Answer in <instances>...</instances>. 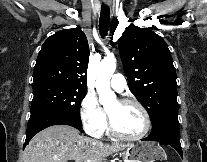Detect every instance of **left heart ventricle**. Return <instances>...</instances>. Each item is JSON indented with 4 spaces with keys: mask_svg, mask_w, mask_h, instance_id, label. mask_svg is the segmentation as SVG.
<instances>
[{
    "mask_svg": "<svg viewBox=\"0 0 207 162\" xmlns=\"http://www.w3.org/2000/svg\"><path fill=\"white\" fill-rule=\"evenodd\" d=\"M107 112L117 130L125 135H136L144 128V116L141 110L132 104L122 106L114 102Z\"/></svg>",
    "mask_w": 207,
    "mask_h": 162,
    "instance_id": "left-heart-ventricle-1",
    "label": "left heart ventricle"
}]
</instances>
